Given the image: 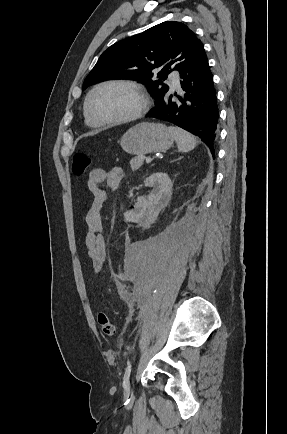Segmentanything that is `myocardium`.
<instances>
[{"instance_id":"1","label":"myocardium","mask_w":287,"mask_h":434,"mask_svg":"<svg viewBox=\"0 0 287 434\" xmlns=\"http://www.w3.org/2000/svg\"><path fill=\"white\" fill-rule=\"evenodd\" d=\"M109 85H119V86L127 87V88L133 90L134 92H136L141 99V104H140L139 108L133 114L128 115V116L123 117V118L109 119V120L97 119L92 114L91 109H90L91 98H92L93 94L98 89L105 87V86H109ZM149 107H150V98H149V95H148L147 91L145 90V88L141 84H139L135 81L123 80V79H109V80H105V81H102V82L96 84L89 91V93L86 96L85 102H84V111H85L86 116L93 124L98 125V126L121 125V124H126L129 122H133L135 120L140 119L144 114H146Z\"/></svg>"}]
</instances>
